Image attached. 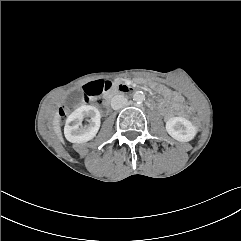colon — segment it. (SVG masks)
<instances>
[{
  "mask_svg": "<svg viewBox=\"0 0 241 241\" xmlns=\"http://www.w3.org/2000/svg\"><path fill=\"white\" fill-rule=\"evenodd\" d=\"M110 82L97 80L92 81L86 84L83 88V101L89 102L90 100H94L97 104L101 103V95L109 88ZM73 105H67L60 109L59 114L61 116L67 115L72 109ZM196 112V108L192 103H189L184 108V113L187 115H194Z\"/></svg>",
  "mask_w": 241,
  "mask_h": 241,
  "instance_id": "colon-1",
  "label": "colon"
}]
</instances>
